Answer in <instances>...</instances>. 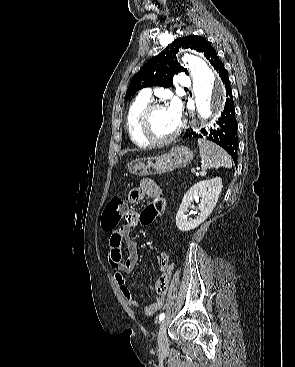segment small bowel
<instances>
[{"mask_svg":"<svg viewBox=\"0 0 295 367\" xmlns=\"http://www.w3.org/2000/svg\"><path fill=\"white\" fill-rule=\"evenodd\" d=\"M162 195L160 186L152 179H143L137 188H134L129 194L131 203H138L145 197ZM141 221L137 208H129L126 213V223L111 233L108 242V261L115 271V279L126 301L139 308V302L133 297L127 286L125 276L131 274L136 268L138 262V243L131 236V231ZM126 245V253L123 254L122 245ZM160 274L156 281L157 298L155 301L143 308L145 315H152L158 311L164 304L165 295L169 284L171 266L169 256L165 252L159 255Z\"/></svg>","mask_w":295,"mask_h":367,"instance_id":"1","label":"small bowel"}]
</instances>
